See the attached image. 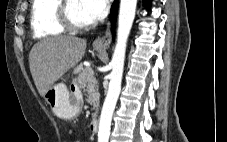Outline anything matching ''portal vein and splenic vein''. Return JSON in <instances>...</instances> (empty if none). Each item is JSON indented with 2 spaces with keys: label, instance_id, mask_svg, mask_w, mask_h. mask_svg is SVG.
<instances>
[{
  "label": "portal vein and splenic vein",
  "instance_id": "portal-vein-and-splenic-vein-1",
  "mask_svg": "<svg viewBox=\"0 0 227 142\" xmlns=\"http://www.w3.org/2000/svg\"><path fill=\"white\" fill-rule=\"evenodd\" d=\"M85 75H86L87 78L90 80V79L93 78L94 73H93L92 70H86V71H85Z\"/></svg>",
  "mask_w": 227,
  "mask_h": 142
}]
</instances>
